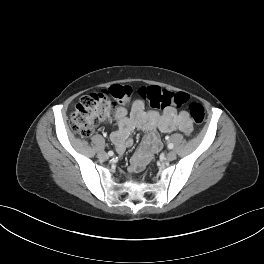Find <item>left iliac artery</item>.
<instances>
[{
    "label": "left iliac artery",
    "instance_id": "44dca946",
    "mask_svg": "<svg viewBox=\"0 0 264 264\" xmlns=\"http://www.w3.org/2000/svg\"><path fill=\"white\" fill-rule=\"evenodd\" d=\"M166 139L168 140L169 139V136H166ZM174 147V145L172 143H169L168 144V148L169 149H172Z\"/></svg>",
    "mask_w": 264,
    "mask_h": 264
}]
</instances>
